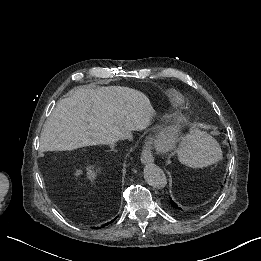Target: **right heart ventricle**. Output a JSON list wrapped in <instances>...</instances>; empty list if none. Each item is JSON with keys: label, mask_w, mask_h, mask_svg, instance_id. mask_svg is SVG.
I'll return each instance as SVG.
<instances>
[{"label": "right heart ventricle", "mask_w": 261, "mask_h": 261, "mask_svg": "<svg viewBox=\"0 0 261 261\" xmlns=\"http://www.w3.org/2000/svg\"><path fill=\"white\" fill-rule=\"evenodd\" d=\"M186 110V99L184 95L173 88H167V95L164 102L159 108L152 112V116L167 113V112H177Z\"/></svg>", "instance_id": "e07e8e85"}]
</instances>
